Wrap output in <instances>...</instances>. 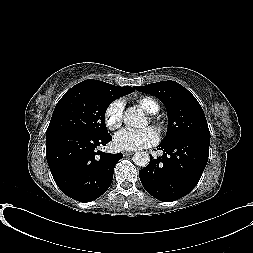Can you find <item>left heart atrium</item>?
<instances>
[{"instance_id": "39dd6f15", "label": "left heart atrium", "mask_w": 253, "mask_h": 253, "mask_svg": "<svg viewBox=\"0 0 253 253\" xmlns=\"http://www.w3.org/2000/svg\"><path fill=\"white\" fill-rule=\"evenodd\" d=\"M158 140V133L152 127L139 131L124 129L115 135L114 145L118 150L134 151L155 145Z\"/></svg>"}]
</instances>
